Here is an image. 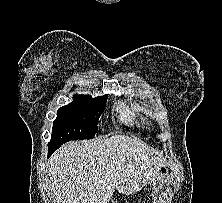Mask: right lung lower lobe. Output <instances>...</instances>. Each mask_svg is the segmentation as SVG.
<instances>
[{"mask_svg":"<svg viewBox=\"0 0 222 203\" xmlns=\"http://www.w3.org/2000/svg\"><path fill=\"white\" fill-rule=\"evenodd\" d=\"M59 147V145H48V157Z\"/></svg>","mask_w":222,"mask_h":203,"instance_id":"right-lung-lower-lobe-1","label":"right lung lower lobe"}]
</instances>
